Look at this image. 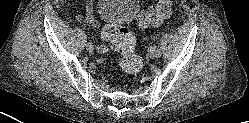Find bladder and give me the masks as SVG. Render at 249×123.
<instances>
[{"instance_id": "obj_1", "label": "bladder", "mask_w": 249, "mask_h": 123, "mask_svg": "<svg viewBox=\"0 0 249 123\" xmlns=\"http://www.w3.org/2000/svg\"><path fill=\"white\" fill-rule=\"evenodd\" d=\"M139 0H98L101 19L109 24H125L135 18Z\"/></svg>"}]
</instances>
